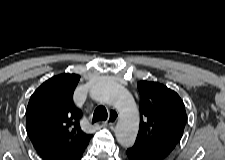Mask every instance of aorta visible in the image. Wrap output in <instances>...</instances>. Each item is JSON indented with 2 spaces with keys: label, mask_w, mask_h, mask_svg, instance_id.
Here are the masks:
<instances>
[{
  "label": "aorta",
  "mask_w": 225,
  "mask_h": 160,
  "mask_svg": "<svg viewBox=\"0 0 225 160\" xmlns=\"http://www.w3.org/2000/svg\"><path fill=\"white\" fill-rule=\"evenodd\" d=\"M90 97L97 102L113 105L118 110L116 139L123 147L132 146L138 133L139 116L131 94L120 84L105 79L91 87Z\"/></svg>",
  "instance_id": "1"
}]
</instances>
